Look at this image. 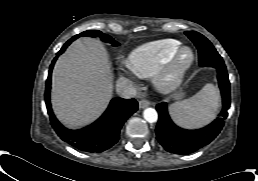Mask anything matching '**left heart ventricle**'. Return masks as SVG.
<instances>
[{"label": "left heart ventricle", "mask_w": 258, "mask_h": 181, "mask_svg": "<svg viewBox=\"0 0 258 181\" xmlns=\"http://www.w3.org/2000/svg\"><path fill=\"white\" fill-rule=\"evenodd\" d=\"M187 57H188V54H185V55H184V59H186Z\"/></svg>", "instance_id": "left-heart-ventricle-1"}]
</instances>
